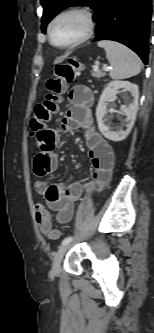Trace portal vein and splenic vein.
I'll return each mask as SVG.
<instances>
[{
  "mask_svg": "<svg viewBox=\"0 0 154 333\" xmlns=\"http://www.w3.org/2000/svg\"><path fill=\"white\" fill-rule=\"evenodd\" d=\"M109 68H110V67L104 65V69H105V70H108ZM95 69H98V66H97V65L95 66Z\"/></svg>",
  "mask_w": 154,
  "mask_h": 333,
  "instance_id": "obj_1",
  "label": "portal vein and splenic vein"
}]
</instances>
